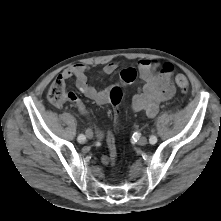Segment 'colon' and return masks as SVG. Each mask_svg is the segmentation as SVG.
Instances as JSON below:
<instances>
[{"label": "colon", "mask_w": 221, "mask_h": 221, "mask_svg": "<svg viewBox=\"0 0 221 221\" xmlns=\"http://www.w3.org/2000/svg\"><path fill=\"white\" fill-rule=\"evenodd\" d=\"M162 72L172 75L173 74V66L169 63H166L162 66ZM174 81L176 85L182 92H187L189 89V82L185 75L183 74H176L174 76ZM48 100L56 105H60L66 101L70 103L78 104L80 100L78 97L72 93L67 92L65 83L55 79L53 83L50 85L48 93H47ZM110 99L112 104L117 105L120 103L122 99V90L119 86H113L110 90ZM118 115V113H116ZM108 150L111 156V162L114 163L117 158V151H116V141L115 135L113 132H110L108 135Z\"/></svg>", "instance_id": "5ec220e1"}]
</instances>
